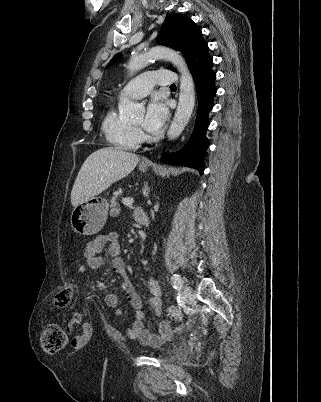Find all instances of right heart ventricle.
I'll return each mask as SVG.
<instances>
[{
    "label": "right heart ventricle",
    "instance_id": "1",
    "mask_svg": "<svg viewBox=\"0 0 321 402\" xmlns=\"http://www.w3.org/2000/svg\"><path fill=\"white\" fill-rule=\"evenodd\" d=\"M102 131L108 143L118 149L134 150L139 146L138 132L113 107L109 108L104 116Z\"/></svg>",
    "mask_w": 321,
    "mask_h": 402
}]
</instances>
